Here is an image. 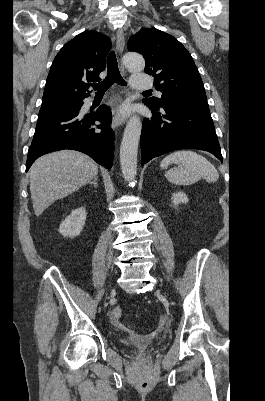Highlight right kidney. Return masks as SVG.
I'll return each instance as SVG.
<instances>
[{"mask_svg": "<svg viewBox=\"0 0 265 401\" xmlns=\"http://www.w3.org/2000/svg\"><path fill=\"white\" fill-rule=\"evenodd\" d=\"M86 219V209L85 207H79L72 211L69 217H66L65 221L61 223L59 227L60 235L63 237H77L80 235Z\"/></svg>", "mask_w": 265, "mask_h": 401, "instance_id": "ca27d5eb", "label": "right kidney"}]
</instances>
